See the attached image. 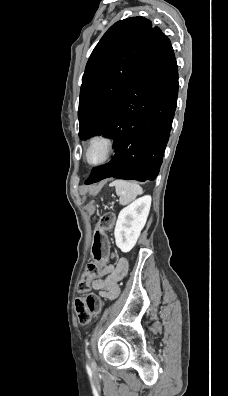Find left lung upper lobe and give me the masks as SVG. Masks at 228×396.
I'll return each mask as SVG.
<instances>
[{"label": "left lung upper lobe", "mask_w": 228, "mask_h": 396, "mask_svg": "<svg viewBox=\"0 0 228 396\" xmlns=\"http://www.w3.org/2000/svg\"><path fill=\"white\" fill-rule=\"evenodd\" d=\"M160 34L158 27L139 16L116 22L103 35L82 78L78 110L81 139L104 132Z\"/></svg>", "instance_id": "1"}]
</instances>
